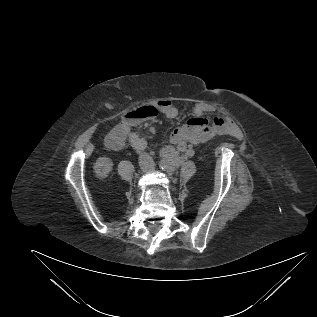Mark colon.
<instances>
[{
	"mask_svg": "<svg viewBox=\"0 0 317 317\" xmlns=\"http://www.w3.org/2000/svg\"><path fill=\"white\" fill-rule=\"evenodd\" d=\"M158 115V109L155 106H142L130 113L132 122H138L144 119H151Z\"/></svg>",
	"mask_w": 317,
	"mask_h": 317,
	"instance_id": "obj_1",
	"label": "colon"
}]
</instances>
